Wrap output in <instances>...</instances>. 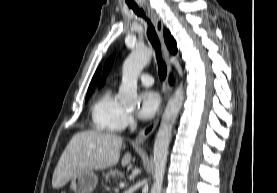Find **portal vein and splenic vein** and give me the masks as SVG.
<instances>
[{"label":"portal vein and splenic vein","instance_id":"obj_1","mask_svg":"<svg viewBox=\"0 0 277 193\" xmlns=\"http://www.w3.org/2000/svg\"><path fill=\"white\" fill-rule=\"evenodd\" d=\"M124 186H125L124 182H120V187H124Z\"/></svg>","mask_w":277,"mask_h":193}]
</instances>
